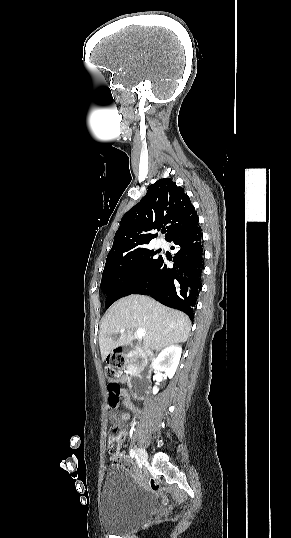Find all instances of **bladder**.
I'll return each mask as SVG.
<instances>
[{
	"mask_svg": "<svg viewBox=\"0 0 291 538\" xmlns=\"http://www.w3.org/2000/svg\"><path fill=\"white\" fill-rule=\"evenodd\" d=\"M155 502L124 466L109 467L103 477L100 521L114 534L133 531L154 512Z\"/></svg>",
	"mask_w": 291,
	"mask_h": 538,
	"instance_id": "bladder-1",
	"label": "bladder"
}]
</instances>
